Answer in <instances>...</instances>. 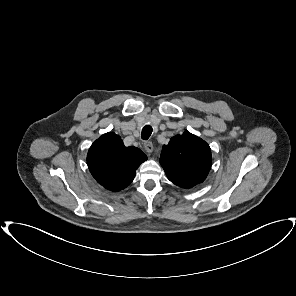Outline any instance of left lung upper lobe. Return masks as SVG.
I'll return each instance as SVG.
<instances>
[{
  "instance_id": "5c2ea615",
  "label": "left lung upper lobe",
  "mask_w": 296,
  "mask_h": 296,
  "mask_svg": "<svg viewBox=\"0 0 296 296\" xmlns=\"http://www.w3.org/2000/svg\"><path fill=\"white\" fill-rule=\"evenodd\" d=\"M160 164L171 182L182 188H192L203 182L209 173L211 149L204 140L186 130L163 146Z\"/></svg>"
}]
</instances>
